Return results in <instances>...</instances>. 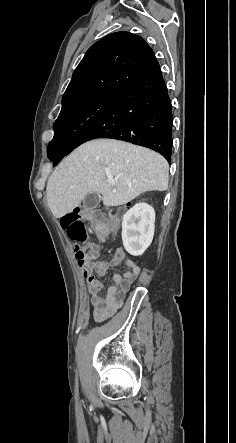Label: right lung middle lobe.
<instances>
[{
	"label": "right lung middle lobe",
	"mask_w": 236,
	"mask_h": 443,
	"mask_svg": "<svg viewBox=\"0 0 236 443\" xmlns=\"http://www.w3.org/2000/svg\"><path fill=\"white\" fill-rule=\"evenodd\" d=\"M113 97V94H97L61 110L54 123L55 134L48 148L66 149L77 130Z\"/></svg>",
	"instance_id": "1"
}]
</instances>
